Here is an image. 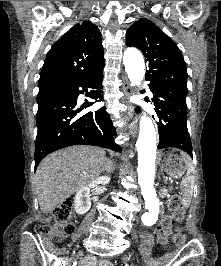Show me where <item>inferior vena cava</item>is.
<instances>
[{"instance_id": "inferior-vena-cava-1", "label": "inferior vena cava", "mask_w": 221, "mask_h": 266, "mask_svg": "<svg viewBox=\"0 0 221 266\" xmlns=\"http://www.w3.org/2000/svg\"><path fill=\"white\" fill-rule=\"evenodd\" d=\"M112 167H114L113 162L111 160H107L106 169H111Z\"/></svg>"}]
</instances>
